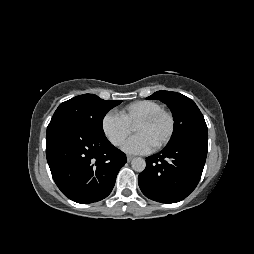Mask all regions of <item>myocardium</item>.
<instances>
[{"mask_svg":"<svg viewBox=\"0 0 254 254\" xmlns=\"http://www.w3.org/2000/svg\"><path fill=\"white\" fill-rule=\"evenodd\" d=\"M161 116H165L168 118L169 120V131L166 135V137L156 146H154L155 150H160L162 148H164L172 139L174 132H175V127H176V122H175V117L172 114V112L166 110V109H160L156 112L151 113L150 115L140 119L136 124V125H145V124H149L152 123L153 121H155L156 119H158Z\"/></svg>","mask_w":254,"mask_h":254,"instance_id":"1","label":"myocardium"}]
</instances>
